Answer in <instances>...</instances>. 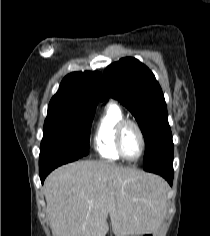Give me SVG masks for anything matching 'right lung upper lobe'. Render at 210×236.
Listing matches in <instances>:
<instances>
[{
	"instance_id": "cb5924a9",
	"label": "right lung upper lobe",
	"mask_w": 210,
	"mask_h": 236,
	"mask_svg": "<svg viewBox=\"0 0 210 236\" xmlns=\"http://www.w3.org/2000/svg\"><path fill=\"white\" fill-rule=\"evenodd\" d=\"M101 74L73 72L61 82L58 92L52 97L49 107L63 106L76 110L96 108L100 92Z\"/></svg>"
}]
</instances>
